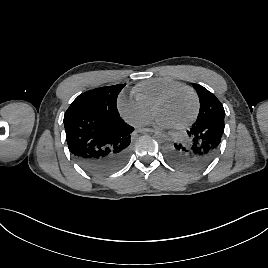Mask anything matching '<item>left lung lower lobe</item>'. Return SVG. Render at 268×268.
<instances>
[{
	"label": "left lung lower lobe",
	"instance_id": "1",
	"mask_svg": "<svg viewBox=\"0 0 268 268\" xmlns=\"http://www.w3.org/2000/svg\"><path fill=\"white\" fill-rule=\"evenodd\" d=\"M218 123L202 122L187 130L184 140L176 141L166 147L169 162L184 171H199L208 166L220 150L224 118Z\"/></svg>",
	"mask_w": 268,
	"mask_h": 268
}]
</instances>
